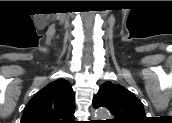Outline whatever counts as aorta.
<instances>
[{"label": "aorta", "instance_id": "aorta-1", "mask_svg": "<svg viewBox=\"0 0 172 123\" xmlns=\"http://www.w3.org/2000/svg\"><path fill=\"white\" fill-rule=\"evenodd\" d=\"M110 117V113L105 108H99L95 111V118L97 120H105Z\"/></svg>", "mask_w": 172, "mask_h": 123}]
</instances>
